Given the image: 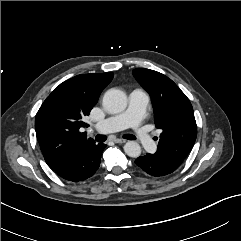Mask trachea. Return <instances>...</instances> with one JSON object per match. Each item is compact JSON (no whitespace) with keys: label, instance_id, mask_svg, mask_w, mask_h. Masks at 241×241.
Listing matches in <instances>:
<instances>
[{"label":"trachea","instance_id":"1","mask_svg":"<svg viewBox=\"0 0 241 241\" xmlns=\"http://www.w3.org/2000/svg\"><path fill=\"white\" fill-rule=\"evenodd\" d=\"M123 137L125 139H128V140H135L136 139V137L131 135V134L124 135ZM95 139H96V141L104 142L106 140V136H104V135H96Z\"/></svg>","mask_w":241,"mask_h":241}]
</instances>
